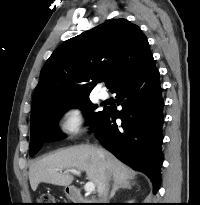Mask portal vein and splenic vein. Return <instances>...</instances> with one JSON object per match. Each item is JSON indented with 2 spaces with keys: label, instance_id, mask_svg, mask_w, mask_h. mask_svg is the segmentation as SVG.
<instances>
[{
  "label": "portal vein and splenic vein",
  "instance_id": "obj_1",
  "mask_svg": "<svg viewBox=\"0 0 200 205\" xmlns=\"http://www.w3.org/2000/svg\"><path fill=\"white\" fill-rule=\"evenodd\" d=\"M68 172L75 174V175H80V171H77L76 169H71ZM84 189L87 193H91L95 190V185L93 182H87L84 186Z\"/></svg>",
  "mask_w": 200,
  "mask_h": 205
}]
</instances>
